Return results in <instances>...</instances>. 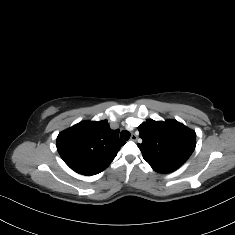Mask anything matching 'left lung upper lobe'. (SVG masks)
Here are the masks:
<instances>
[{
    "label": "left lung upper lobe",
    "mask_w": 235,
    "mask_h": 235,
    "mask_svg": "<svg viewBox=\"0 0 235 235\" xmlns=\"http://www.w3.org/2000/svg\"><path fill=\"white\" fill-rule=\"evenodd\" d=\"M138 130L143 141L137 146L148 163L180 167L196 146V133L176 120L148 119Z\"/></svg>",
    "instance_id": "1"
}]
</instances>
